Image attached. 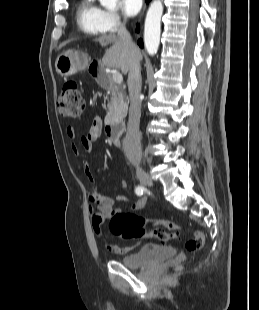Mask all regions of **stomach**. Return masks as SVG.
Segmentation results:
<instances>
[{
  "label": "stomach",
  "instance_id": "stomach-1",
  "mask_svg": "<svg viewBox=\"0 0 259 310\" xmlns=\"http://www.w3.org/2000/svg\"><path fill=\"white\" fill-rule=\"evenodd\" d=\"M87 57L74 49L61 53L55 62L56 71L62 76H72L87 66Z\"/></svg>",
  "mask_w": 259,
  "mask_h": 310
}]
</instances>
